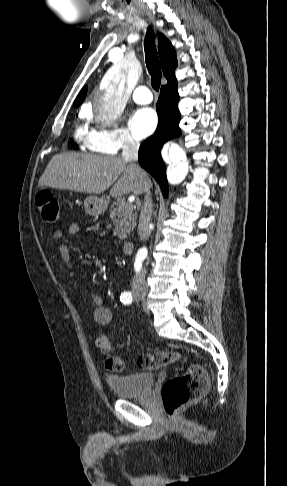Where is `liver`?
Segmentation results:
<instances>
[{
	"label": "liver",
	"mask_w": 287,
	"mask_h": 486,
	"mask_svg": "<svg viewBox=\"0 0 287 486\" xmlns=\"http://www.w3.org/2000/svg\"><path fill=\"white\" fill-rule=\"evenodd\" d=\"M41 187L110 195L142 194L152 182L147 174L123 157L62 153L52 157L38 182Z\"/></svg>",
	"instance_id": "liver-1"
}]
</instances>
